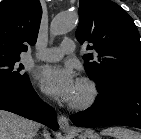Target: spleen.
<instances>
[{
  "mask_svg": "<svg viewBox=\"0 0 141 139\" xmlns=\"http://www.w3.org/2000/svg\"><path fill=\"white\" fill-rule=\"evenodd\" d=\"M101 134L114 137L115 139H141L140 133L122 127L107 128Z\"/></svg>",
  "mask_w": 141,
  "mask_h": 139,
  "instance_id": "3e777b00",
  "label": "spleen"
}]
</instances>
